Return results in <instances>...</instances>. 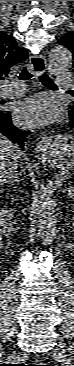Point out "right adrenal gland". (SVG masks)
I'll list each match as a JSON object with an SVG mask.
<instances>
[{"label":"right adrenal gland","instance_id":"right-adrenal-gland-1","mask_svg":"<svg viewBox=\"0 0 74 366\" xmlns=\"http://www.w3.org/2000/svg\"><path fill=\"white\" fill-rule=\"evenodd\" d=\"M19 183V177H18V175L17 176H15V177H13V178H11V179H9L7 182H6V184L7 185H9V184H12V185H14V183Z\"/></svg>","mask_w":74,"mask_h":366}]
</instances>
